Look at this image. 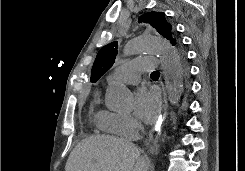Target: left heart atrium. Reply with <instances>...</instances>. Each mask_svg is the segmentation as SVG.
<instances>
[{
	"mask_svg": "<svg viewBox=\"0 0 245 171\" xmlns=\"http://www.w3.org/2000/svg\"><path fill=\"white\" fill-rule=\"evenodd\" d=\"M161 109L159 93L155 89L140 88L135 93V115L145 123H152Z\"/></svg>",
	"mask_w": 245,
	"mask_h": 171,
	"instance_id": "obj_1",
	"label": "left heart atrium"
}]
</instances>
